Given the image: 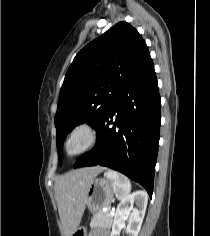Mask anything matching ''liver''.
Returning <instances> with one entry per match:
<instances>
[{
	"label": "liver",
	"instance_id": "6515ba94",
	"mask_svg": "<svg viewBox=\"0 0 210 236\" xmlns=\"http://www.w3.org/2000/svg\"><path fill=\"white\" fill-rule=\"evenodd\" d=\"M104 167H87L71 171L55 181V196L64 236H72L85 209V197L90 182Z\"/></svg>",
	"mask_w": 210,
	"mask_h": 236
}]
</instances>
